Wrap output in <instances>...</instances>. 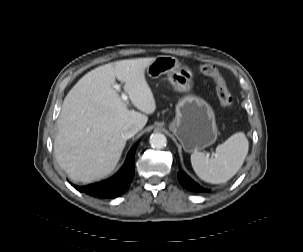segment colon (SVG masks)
<instances>
[{"instance_id": "obj_1", "label": "colon", "mask_w": 303, "mask_h": 252, "mask_svg": "<svg viewBox=\"0 0 303 252\" xmlns=\"http://www.w3.org/2000/svg\"><path fill=\"white\" fill-rule=\"evenodd\" d=\"M199 70L203 75L213 79L221 105L225 108H232L233 99L230 95L227 84L218 69L213 65L203 64L200 66Z\"/></svg>"}]
</instances>
